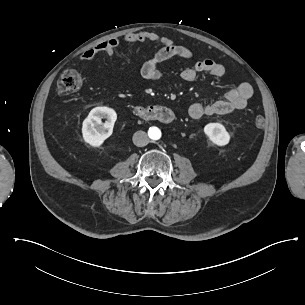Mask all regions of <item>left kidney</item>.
I'll return each instance as SVG.
<instances>
[{"label":"left kidney","instance_id":"1","mask_svg":"<svg viewBox=\"0 0 305 305\" xmlns=\"http://www.w3.org/2000/svg\"><path fill=\"white\" fill-rule=\"evenodd\" d=\"M204 134L214 146L224 148L231 140V135L221 123L211 122L204 126Z\"/></svg>","mask_w":305,"mask_h":305}]
</instances>
